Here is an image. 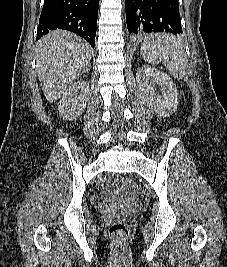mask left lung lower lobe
<instances>
[{"instance_id": "left-lung-lower-lobe-1", "label": "left lung lower lobe", "mask_w": 227, "mask_h": 267, "mask_svg": "<svg viewBox=\"0 0 227 267\" xmlns=\"http://www.w3.org/2000/svg\"><path fill=\"white\" fill-rule=\"evenodd\" d=\"M127 28L133 39L144 33H182L178 0H125Z\"/></svg>"}]
</instances>
